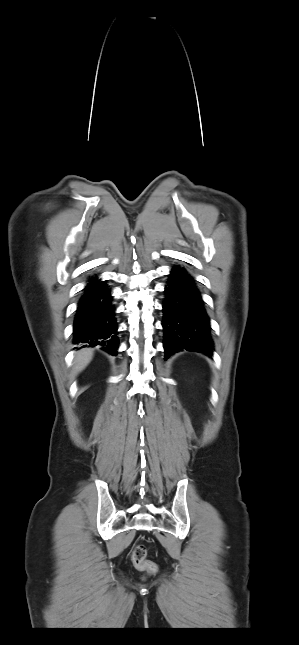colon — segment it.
<instances>
[{
  "instance_id": "1",
  "label": "colon",
  "mask_w": 299,
  "mask_h": 645,
  "mask_svg": "<svg viewBox=\"0 0 299 645\" xmlns=\"http://www.w3.org/2000/svg\"><path fill=\"white\" fill-rule=\"evenodd\" d=\"M147 551L143 545H137L131 554V560L134 566L149 574H154L157 571V565L150 560H147Z\"/></svg>"
}]
</instances>
